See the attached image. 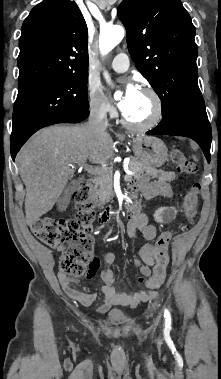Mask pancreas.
Returning a JSON list of instances; mask_svg holds the SVG:
<instances>
[{
  "label": "pancreas",
  "instance_id": "obj_1",
  "mask_svg": "<svg viewBox=\"0 0 221 379\" xmlns=\"http://www.w3.org/2000/svg\"><path fill=\"white\" fill-rule=\"evenodd\" d=\"M129 169L135 172L134 176H139L145 173L152 176L153 178H158L161 181L169 182L173 181L176 178L175 172H166L147 166L137 158H131ZM112 175V169L107 168L103 174L99 175L94 180V187L91 189V194L94 198L99 199L102 203L109 202L114 197ZM129 179H131V176H129Z\"/></svg>",
  "mask_w": 221,
  "mask_h": 379
}]
</instances>
